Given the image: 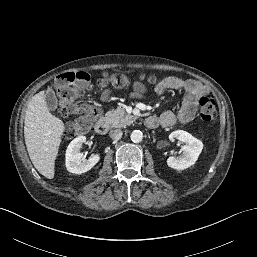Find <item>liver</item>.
I'll list each match as a JSON object with an SVG mask.
<instances>
[{"instance_id":"liver-1","label":"liver","mask_w":257,"mask_h":257,"mask_svg":"<svg viewBox=\"0 0 257 257\" xmlns=\"http://www.w3.org/2000/svg\"><path fill=\"white\" fill-rule=\"evenodd\" d=\"M44 97V91H41L28 103L24 138L34 167L44 177L53 179L55 160L65 126L61 119L49 112Z\"/></svg>"}]
</instances>
